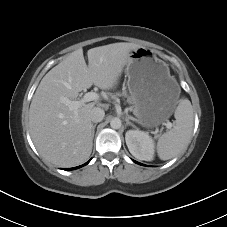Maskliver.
<instances>
[{
	"label": "liver",
	"mask_w": 227,
	"mask_h": 227,
	"mask_svg": "<svg viewBox=\"0 0 227 227\" xmlns=\"http://www.w3.org/2000/svg\"><path fill=\"white\" fill-rule=\"evenodd\" d=\"M134 43H113L89 49L88 66L83 50L70 53L41 80L29 109V130L40 155L59 167H72L87 160L92 152L91 111L96 102L76 112L62 103L95 85L114 88L128 62Z\"/></svg>",
	"instance_id": "6515ba94"
}]
</instances>
